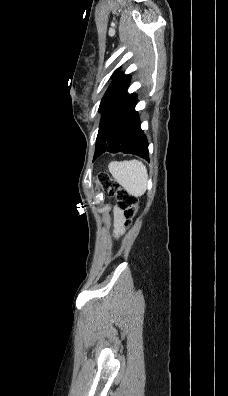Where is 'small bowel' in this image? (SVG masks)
I'll use <instances>...</instances> for the list:
<instances>
[{"mask_svg": "<svg viewBox=\"0 0 228 396\" xmlns=\"http://www.w3.org/2000/svg\"><path fill=\"white\" fill-rule=\"evenodd\" d=\"M115 216H116V233H120L121 232V223H122L123 218H122V215L119 212V210H116Z\"/></svg>", "mask_w": 228, "mask_h": 396, "instance_id": "obj_1", "label": "small bowel"}]
</instances>
